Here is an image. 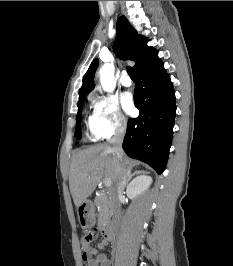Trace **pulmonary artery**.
Masks as SVG:
<instances>
[{"label":"pulmonary artery","instance_id":"pulmonary-artery-1","mask_svg":"<svg viewBox=\"0 0 233 266\" xmlns=\"http://www.w3.org/2000/svg\"><path fill=\"white\" fill-rule=\"evenodd\" d=\"M120 82L125 87H130L132 85V80L126 72H123V74L120 78Z\"/></svg>","mask_w":233,"mask_h":266}]
</instances>
